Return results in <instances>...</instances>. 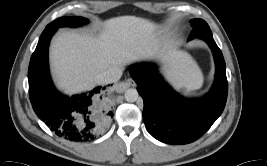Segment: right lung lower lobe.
Masks as SVG:
<instances>
[{
	"label": "right lung lower lobe",
	"mask_w": 267,
	"mask_h": 166,
	"mask_svg": "<svg viewBox=\"0 0 267 166\" xmlns=\"http://www.w3.org/2000/svg\"><path fill=\"white\" fill-rule=\"evenodd\" d=\"M57 28H45L31 56L28 80L32 107L57 136L72 142H87L103 132L113 114L106 87L71 97L59 93L48 69V47Z\"/></svg>",
	"instance_id": "right-lung-lower-lobe-1"
}]
</instances>
